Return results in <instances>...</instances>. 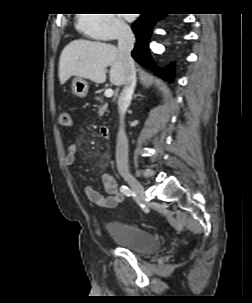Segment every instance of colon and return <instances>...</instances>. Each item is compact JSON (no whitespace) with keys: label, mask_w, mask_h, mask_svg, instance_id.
<instances>
[{"label":"colon","mask_w":252,"mask_h":303,"mask_svg":"<svg viewBox=\"0 0 252 303\" xmlns=\"http://www.w3.org/2000/svg\"><path fill=\"white\" fill-rule=\"evenodd\" d=\"M72 123L69 112L63 111L60 113V125L63 127H70Z\"/></svg>","instance_id":"colon-1"}]
</instances>
